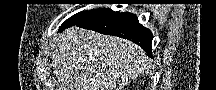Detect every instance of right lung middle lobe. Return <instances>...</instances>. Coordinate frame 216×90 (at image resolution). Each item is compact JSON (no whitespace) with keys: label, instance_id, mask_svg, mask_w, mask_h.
<instances>
[{"label":"right lung middle lobe","instance_id":"right-lung-middle-lobe-1","mask_svg":"<svg viewBox=\"0 0 216 90\" xmlns=\"http://www.w3.org/2000/svg\"><path fill=\"white\" fill-rule=\"evenodd\" d=\"M110 10L109 8L107 9H98V10H92V11H86V12H79L75 15H73L72 17H70L69 19H67L62 26L60 27V29L64 28L67 25H70L72 23L78 22V21H83V20H87L89 18L95 17L103 12H106Z\"/></svg>","mask_w":216,"mask_h":90}]
</instances>
